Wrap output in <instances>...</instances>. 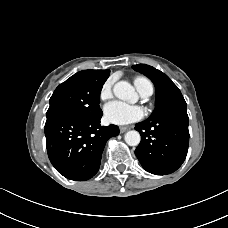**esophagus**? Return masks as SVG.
<instances>
[{
	"mask_svg": "<svg viewBox=\"0 0 228 228\" xmlns=\"http://www.w3.org/2000/svg\"><path fill=\"white\" fill-rule=\"evenodd\" d=\"M127 130H129V127H125V126L120 127V133H124Z\"/></svg>",
	"mask_w": 228,
	"mask_h": 228,
	"instance_id": "34e87169",
	"label": "esophagus"
}]
</instances>
